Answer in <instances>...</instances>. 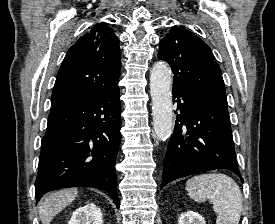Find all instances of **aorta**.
<instances>
[{"instance_id": "obj_1", "label": "aorta", "mask_w": 275, "mask_h": 224, "mask_svg": "<svg viewBox=\"0 0 275 224\" xmlns=\"http://www.w3.org/2000/svg\"><path fill=\"white\" fill-rule=\"evenodd\" d=\"M172 72L165 62H157L150 74L153 127L159 140H167L173 132Z\"/></svg>"}]
</instances>
